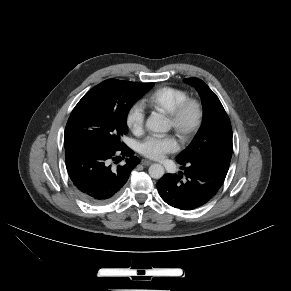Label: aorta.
Wrapping results in <instances>:
<instances>
[{
    "label": "aorta",
    "mask_w": 291,
    "mask_h": 291,
    "mask_svg": "<svg viewBox=\"0 0 291 291\" xmlns=\"http://www.w3.org/2000/svg\"><path fill=\"white\" fill-rule=\"evenodd\" d=\"M146 128L153 132L164 133L170 129L167 119L160 114L151 115L146 121ZM149 175L154 179L163 177L165 170L161 164H152L149 167Z\"/></svg>",
    "instance_id": "aorta-1"
}]
</instances>
